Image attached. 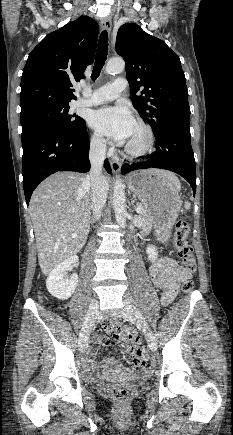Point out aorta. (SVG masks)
<instances>
[{
	"mask_svg": "<svg viewBox=\"0 0 233 435\" xmlns=\"http://www.w3.org/2000/svg\"><path fill=\"white\" fill-rule=\"evenodd\" d=\"M125 69V62L121 58L110 59L106 65V73L109 75H116ZM124 184L120 179H116L113 191V209L115 218L121 228L126 227V198L124 191Z\"/></svg>",
	"mask_w": 233,
	"mask_h": 435,
	"instance_id": "762f6f07",
	"label": "aorta"
}]
</instances>
